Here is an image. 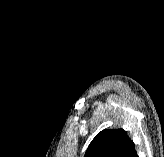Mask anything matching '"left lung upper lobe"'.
<instances>
[{
    "mask_svg": "<svg viewBox=\"0 0 164 157\" xmlns=\"http://www.w3.org/2000/svg\"><path fill=\"white\" fill-rule=\"evenodd\" d=\"M133 148L134 143L126 131L106 129L95 136L84 157H128Z\"/></svg>",
    "mask_w": 164,
    "mask_h": 157,
    "instance_id": "left-lung-upper-lobe-1",
    "label": "left lung upper lobe"
}]
</instances>
